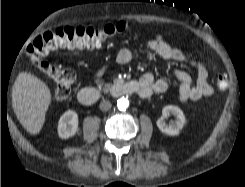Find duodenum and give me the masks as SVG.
I'll return each mask as SVG.
<instances>
[{
  "mask_svg": "<svg viewBox=\"0 0 245 187\" xmlns=\"http://www.w3.org/2000/svg\"><path fill=\"white\" fill-rule=\"evenodd\" d=\"M141 90L142 86L137 80H129L114 83L104 91L94 87H83L78 91L77 98L83 104H93L102 98L103 92L112 97H120L140 94Z\"/></svg>",
  "mask_w": 245,
  "mask_h": 187,
  "instance_id": "410a0bca",
  "label": "duodenum"
}]
</instances>
